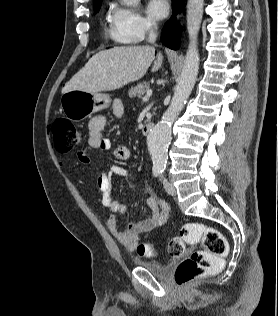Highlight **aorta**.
<instances>
[{
  "label": "aorta",
  "instance_id": "1",
  "mask_svg": "<svg viewBox=\"0 0 278 316\" xmlns=\"http://www.w3.org/2000/svg\"><path fill=\"white\" fill-rule=\"evenodd\" d=\"M125 5L132 6L139 0H122ZM204 0H188L187 29L189 46L184 66L175 87L172 101L158 122L149 132L147 146L153 162V169L164 170L167 163L168 147L171 142L172 123L182 110L197 79L199 70V53L197 37L203 16Z\"/></svg>",
  "mask_w": 278,
  "mask_h": 316
}]
</instances>
